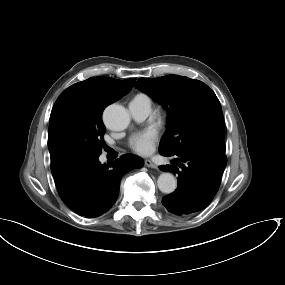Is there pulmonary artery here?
Returning a JSON list of instances; mask_svg holds the SVG:
<instances>
[{"label":"pulmonary artery","mask_w":285,"mask_h":285,"mask_svg":"<svg viewBox=\"0 0 285 285\" xmlns=\"http://www.w3.org/2000/svg\"><path fill=\"white\" fill-rule=\"evenodd\" d=\"M131 117L134 120H144L151 112V100L145 94L136 95L128 104Z\"/></svg>","instance_id":"pulmonary-artery-1"}]
</instances>
